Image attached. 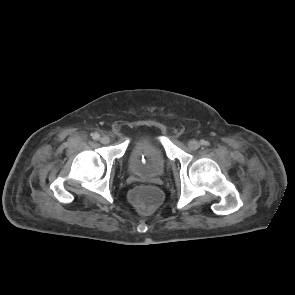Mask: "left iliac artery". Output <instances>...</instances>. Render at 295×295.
<instances>
[{"mask_svg":"<svg viewBox=\"0 0 295 295\" xmlns=\"http://www.w3.org/2000/svg\"><path fill=\"white\" fill-rule=\"evenodd\" d=\"M201 144L206 146V145H208L209 143H208L207 141H205V140H201Z\"/></svg>","mask_w":295,"mask_h":295,"instance_id":"left-iliac-artery-1","label":"left iliac artery"}]
</instances>
